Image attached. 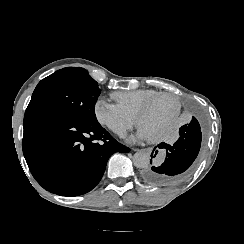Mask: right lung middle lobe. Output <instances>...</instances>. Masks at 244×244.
<instances>
[{"instance_id":"dd1d6c3e","label":"right lung middle lobe","mask_w":244,"mask_h":244,"mask_svg":"<svg viewBox=\"0 0 244 244\" xmlns=\"http://www.w3.org/2000/svg\"><path fill=\"white\" fill-rule=\"evenodd\" d=\"M101 90L80 67H67L41 80L26 110H48L82 122H97L95 104Z\"/></svg>"}]
</instances>
